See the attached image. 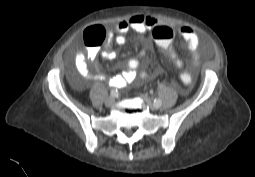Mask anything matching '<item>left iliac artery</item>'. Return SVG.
Masks as SVG:
<instances>
[{"label": "left iliac artery", "instance_id": "obj_1", "mask_svg": "<svg viewBox=\"0 0 255 177\" xmlns=\"http://www.w3.org/2000/svg\"><path fill=\"white\" fill-rule=\"evenodd\" d=\"M161 104H162V101L160 100V99H155L154 100V105L156 106V107H160L161 106Z\"/></svg>", "mask_w": 255, "mask_h": 177}]
</instances>
